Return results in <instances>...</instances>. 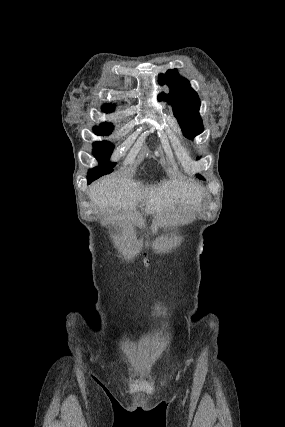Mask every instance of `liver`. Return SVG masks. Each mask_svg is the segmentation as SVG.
<instances>
[{"label":"liver","instance_id":"liver-1","mask_svg":"<svg viewBox=\"0 0 285 427\" xmlns=\"http://www.w3.org/2000/svg\"><path fill=\"white\" fill-rule=\"evenodd\" d=\"M202 195L198 186L177 179L152 186L128 177H107L94 183L89 190L91 202L100 209L122 211L129 219L133 218L138 203L145 206L146 214H161L170 212L176 205L197 206Z\"/></svg>","mask_w":285,"mask_h":427}]
</instances>
